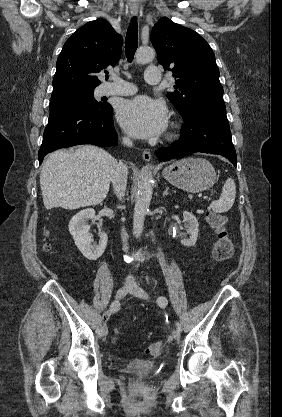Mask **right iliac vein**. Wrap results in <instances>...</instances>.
<instances>
[{"label": "right iliac vein", "instance_id": "63e3f726", "mask_svg": "<svg viewBox=\"0 0 282 417\" xmlns=\"http://www.w3.org/2000/svg\"><path fill=\"white\" fill-rule=\"evenodd\" d=\"M130 289H131V286L130 285H125V286H123V287H121V288H119L118 289V291L116 292V299L117 300H120V299H122L123 297H125L126 296V294L130 291ZM99 334H100V336H106L107 334H108V329H107V327L106 326H103L101 329H100V332H99Z\"/></svg>", "mask_w": 282, "mask_h": 417}]
</instances>
